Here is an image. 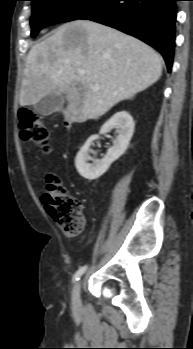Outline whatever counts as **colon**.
<instances>
[{
  "mask_svg": "<svg viewBox=\"0 0 193 349\" xmlns=\"http://www.w3.org/2000/svg\"><path fill=\"white\" fill-rule=\"evenodd\" d=\"M18 117L21 137L33 141L43 151H48L51 136L43 119L26 108L20 109ZM42 202L64 234L76 236L82 232L84 228L82 204L66 192L58 175L54 173L46 175Z\"/></svg>",
  "mask_w": 193,
  "mask_h": 349,
  "instance_id": "colon-1",
  "label": "colon"
}]
</instances>
